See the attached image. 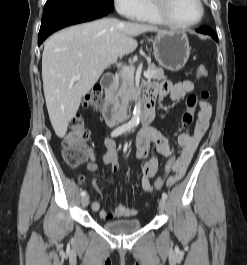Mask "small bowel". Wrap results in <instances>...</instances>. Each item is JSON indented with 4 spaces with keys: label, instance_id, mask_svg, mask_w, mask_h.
Instances as JSON below:
<instances>
[{
    "label": "small bowel",
    "instance_id": "obj_1",
    "mask_svg": "<svg viewBox=\"0 0 247 265\" xmlns=\"http://www.w3.org/2000/svg\"><path fill=\"white\" fill-rule=\"evenodd\" d=\"M147 88L152 90L155 93V96L159 95L162 98L168 97L171 100H179L193 91L194 84L188 80L176 84L169 81H162L160 83H151ZM193 97L194 96H190L188 100ZM197 108L199 109V112L193 133H181L178 136V144L181 146L182 150L176 159L174 176L170 177L167 181L169 186L182 178L200 140L208 129L211 118V105L207 101H200ZM104 144L105 152L103 154V161L110 166L112 171H117L119 165L116 161V144L110 138H106ZM151 146H154L157 152L166 159L172 154L167 138L160 131L153 127H145L140 131L137 139L135 156L142 161L140 187L146 192H152L154 190L151 179L156 175L158 170V160L150 153ZM86 153L88 158L87 169L90 172H96L98 164L94 153L90 149H86ZM93 186L98 190L96 180H93ZM145 206H147V204ZM91 208L93 211L98 212V215L102 220L133 217L138 213L137 210L122 204L117 205L113 211L108 212L100 209L99 201H93Z\"/></svg>",
    "mask_w": 247,
    "mask_h": 265
}]
</instances>
